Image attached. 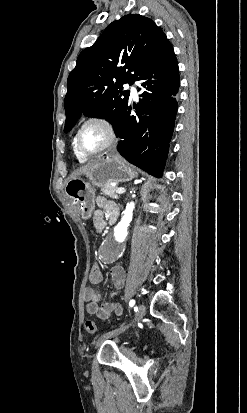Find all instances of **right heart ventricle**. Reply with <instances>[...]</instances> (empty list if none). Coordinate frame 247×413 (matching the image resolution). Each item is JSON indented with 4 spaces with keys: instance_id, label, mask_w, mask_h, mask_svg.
<instances>
[{
    "instance_id": "right-heart-ventricle-1",
    "label": "right heart ventricle",
    "mask_w": 247,
    "mask_h": 413,
    "mask_svg": "<svg viewBox=\"0 0 247 413\" xmlns=\"http://www.w3.org/2000/svg\"><path fill=\"white\" fill-rule=\"evenodd\" d=\"M73 150H74L75 156H76V158L78 159L79 162L83 163V162H85V161L87 160V158L83 157V156L77 151L76 146H75V141H74V139H73Z\"/></svg>"
}]
</instances>
